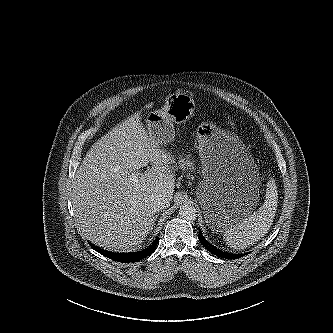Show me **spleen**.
Returning <instances> with one entry per match:
<instances>
[{
    "mask_svg": "<svg viewBox=\"0 0 333 333\" xmlns=\"http://www.w3.org/2000/svg\"><path fill=\"white\" fill-rule=\"evenodd\" d=\"M266 194L263 205L233 227L224 232V240L233 249H244L255 244L270 229L277 210L278 191L274 179L266 184Z\"/></svg>",
    "mask_w": 333,
    "mask_h": 333,
    "instance_id": "1",
    "label": "spleen"
}]
</instances>
